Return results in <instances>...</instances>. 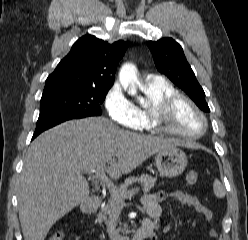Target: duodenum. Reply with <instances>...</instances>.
I'll return each instance as SVG.
<instances>
[{"label":"duodenum","mask_w":248,"mask_h":240,"mask_svg":"<svg viewBox=\"0 0 248 240\" xmlns=\"http://www.w3.org/2000/svg\"><path fill=\"white\" fill-rule=\"evenodd\" d=\"M101 203L100 197L95 194L93 197L86 199L82 205V212L85 214H92L96 212ZM151 233V224L148 221H144L139 230L130 238L124 240H149Z\"/></svg>","instance_id":"410a0bca"}]
</instances>
